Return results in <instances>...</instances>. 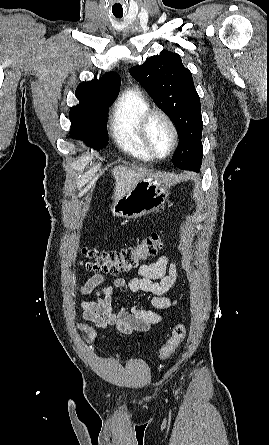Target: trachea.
I'll list each match as a JSON object with an SVG mask.
<instances>
[{
  "label": "trachea",
  "mask_w": 269,
  "mask_h": 445,
  "mask_svg": "<svg viewBox=\"0 0 269 445\" xmlns=\"http://www.w3.org/2000/svg\"><path fill=\"white\" fill-rule=\"evenodd\" d=\"M115 17L120 19V18H122V15H115Z\"/></svg>",
  "instance_id": "3493384b"
}]
</instances>
